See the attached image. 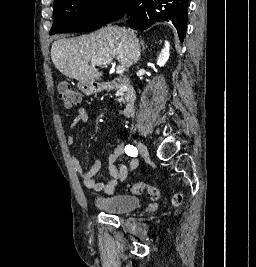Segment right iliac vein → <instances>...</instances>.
<instances>
[{
    "instance_id": "63e3f726",
    "label": "right iliac vein",
    "mask_w": 256,
    "mask_h": 267,
    "mask_svg": "<svg viewBox=\"0 0 256 267\" xmlns=\"http://www.w3.org/2000/svg\"><path fill=\"white\" fill-rule=\"evenodd\" d=\"M137 149H138V151H139L141 154H143V155H149L148 148H147V146H146L144 143H142V142H138V143H137Z\"/></svg>"
}]
</instances>
